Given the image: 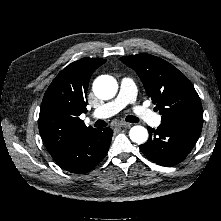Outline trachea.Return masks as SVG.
I'll use <instances>...</instances> for the list:
<instances>
[{
	"mask_svg": "<svg viewBox=\"0 0 221 221\" xmlns=\"http://www.w3.org/2000/svg\"><path fill=\"white\" fill-rule=\"evenodd\" d=\"M125 120L127 122H132V123L139 122V119L135 116H132V115L127 116L125 118ZM106 125H107V123L104 120H97L96 123H95V127H98V128L105 127Z\"/></svg>",
	"mask_w": 221,
	"mask_h": 221,
	"instance_id": "1",
	"label": "trachea"
}]
</instances>
